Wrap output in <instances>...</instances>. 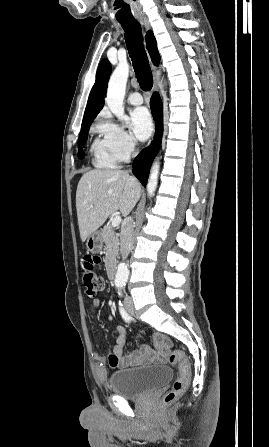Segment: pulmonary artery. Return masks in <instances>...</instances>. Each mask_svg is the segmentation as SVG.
Returning a JSON list of instances; mask_svg holds the SVG:
<instances>
[{
    "instance_id": "obj_1",
    "label": "pulmonary artery",
    "mask_w": 269,
    "mask_h": 447,
    "mask_svg": "<svg viewBox=\"0 0 269 447\" xmlns=\"http://www.w3.org/2000/svg\"><path fill=\"white\" fill-rule=\"evenodd\" d=\"M128 102L132 105H140L143 103V97L139 92H133L129 95Z\"/></svg>"
}]
</instances>
